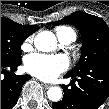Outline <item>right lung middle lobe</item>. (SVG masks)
I'll return each mask as SVG.
<instances>
[{"instance_id":"dd1d6c3e","label":"right lung middle lobe","mask_w":109,"mask_h":109,"mask_svg":"<svg viewBox=\"0 0 109 109\" xmlns=\"http://www.w3.org/2000/svg\"><path fill=\"white\" fill-rule=\"evenodd\" d=\"M31 33L25 25L1 18V63L21 61V44Z\"/></svg>"}]
</instances>
